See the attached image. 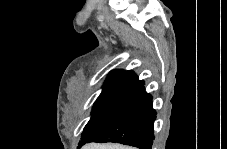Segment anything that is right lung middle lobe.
I'll list each match as a JSON object with an SVG mask.
<instances>
[{"label": "right lung middle lobe", "mask_w": 227, "mask_h": 149, "mask_svg": "<svg viewBox=\"0 0 227 149\" xmlns=\"http://www.w3.org/2000/svg\"><path fill=\"white\" fill-rule=\"evenodd\" d=\"M140 90L113 87L103 89L95 101L91 118L81 134L79 147L86 143V139L90 133L100 126L115 119L126 107L136 98Z\"/></svg>", "instance_id": "dd1d6c3e"}]
</instances>
